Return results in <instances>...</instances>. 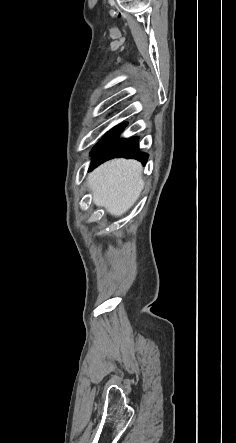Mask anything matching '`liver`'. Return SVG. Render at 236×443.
I'll list each match as a JSON object with an SVG mask.
<instances>
[{"instance_id": "6515ba94", "label": "liver", "mask_w": 236, "mask_h": 443, "mask_svg": "<svg viewBox=\"0 0 236 443\" xmlns=\"http://www.w3.org/2000/svg\"><path fill=\"white\" fill-rule=\"evenodd\" d=\"M142 165L136 160H110L88 175V188L93 203L119 217L137 201L144 187Z\"/></svg>"}]
</instances>
